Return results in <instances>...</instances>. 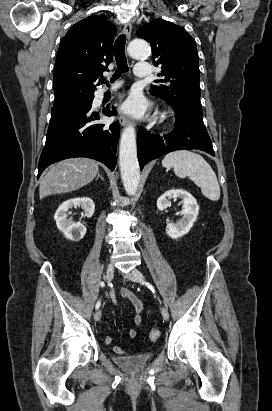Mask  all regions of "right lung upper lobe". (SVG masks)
<instances>
[{
    "label": "right lung upper lobe",
    "mask_w": 272,
    "mask_h": 411,
    "mask_svg": "<svg viewBox=\"0 0 272 411\" xmlns=\"http://www.w3.org/2000/svg\"><path fill=\"white\" fill-rule=\"evenodd\" d=\"M116 27L92 15L74 24L58 49L53 76L55 103L77 93L94 95V82L113 60Z\"/></svg>",
    "instance_id": "right-lung-upper-lobe-1"
}]
</instances>
